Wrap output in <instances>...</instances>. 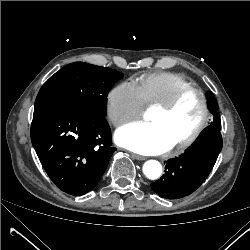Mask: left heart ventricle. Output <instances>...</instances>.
I'll return each instance as SVG.
<instances>
[{"label": "left heart ventricle", "instance_id": "left-heart-ventricle-1", "mask_svg": "<svg viewBox=\"0 0 250 250\" xmlns=\"http://www.w3.org/2000/svg\"><path fill=\"white\" fill-rule=\"evenodd\" d=\"M202 117V104L196 94L186 96L170 113L164 114L153 109L148 120L160 127L173 143L188 137L198 126Z\"/></svg>", "mask_w": 250, "mask_h": 250}]
</instances>
